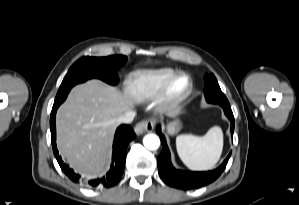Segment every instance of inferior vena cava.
I'll list each match as a JSON object with an SVG mask.
<instances>
[{
	"label": "inferior vena cava",
	"instance_id": "1",
	"mask_svg": "<svg viewBox=\"0 0 299 205\" xmlns=\"http://www.w3.org/2000/svg\"><path fill=\"white\" fill-rule=\"evenodd\" d=\"M135 117V112L134 111H127L126 113H124L123 115H121L117 122L119 124L121 123H125V124H128V123H131L133 121Z\"/></svg>",
	"mask_w": 299,
	"mask_h": 205
}]
</instances>
